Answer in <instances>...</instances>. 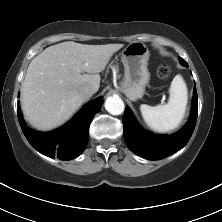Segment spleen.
<instances>
[{"mask_svg":"<svg viewBox=\"0 0 222 222\" xmlns=\"http://www.w3.org/2000/svg\"><path fill=\"white\" fill-rule=\"evenodd\" d=\"M169 100L165 105L140 106L145 123L154 131L170 132L182 122L188 100L186 84L181 75H176L169 88Z\"/></svg>","mask_w":222,"mask_h":222,"instance_id":"spleen-1","label":"spleen"}]
</instances>
